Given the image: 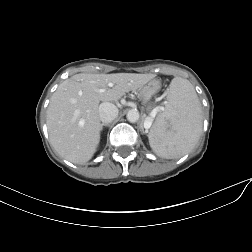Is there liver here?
I'll list each match as a JSON object with an SVG mask.
<instances>
[{
	"mask_svg": "<svg viewBox=\"0 0 252 252\" xmlns=\"http://www.w3.org/2000/svg\"><path fill=\"white\" fill-rule=\"evenodd\" d=\"M152 78L151 74L82 73L63 81L47 109L49 139L55 151L72 163L88 162L100 141L99 103L117 102Z\"/></svg>",
	"mask_w": 252,
	"mask_h": 252,
	"instance_id": "6515ba94",
	"label": "liver"
}]
</instances>
